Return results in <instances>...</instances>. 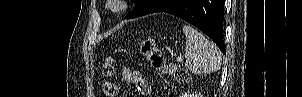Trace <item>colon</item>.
I'll return each mask as SVG.
<instances>
[{"mask_svg":"<svg viewBox=\"0 0 302 97\" xmlns=\"http://www.w3.org/2000/svg\"><path fill=\"white\" fill-rule=\"evenodd\" d=\"M139 48L141 53L148 59L153 69L174 77V79L181 84L189 83L190 75L188 72L180 66L167 63L162 53L151 40H141L139 42ZM102 71L105 76V81L103 83L104 96L114 97L117 92V83L114 80L115 68L110 57L105 59Z\"/></svg>","mask_w":302,"mask_h":97,"instance_id":"colon-1","label":"colon"}]
</instances>
